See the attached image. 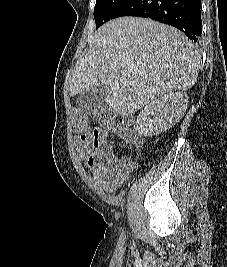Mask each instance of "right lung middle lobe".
<instances>
[{"label":"right lung middle lobe","mask_w":227,"mask_h":267,"mask_svg":"<svg viewBox=\"0 0 227 267\" xmlns=\"http://www.w3.org/2000/svg\"><path fill=\"white\" fill-rule=\"evenodd\" d=\"M128 0H96L94 8V18L96 22V29L102 24L113 19L115 13L127 2Z\"/></svg>","instance_id":"1"}]
</instances>
